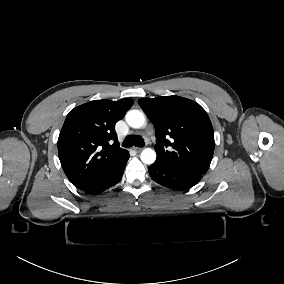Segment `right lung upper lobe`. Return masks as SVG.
Instances as JSON below:
<instances>
[{"label": "right lung upper lobe", "mask_w": 284, "mask_h": 284, "mask_svg": "<svg viewBox=\"0 0 284 284\" xmlns=\"http://www.w3.org/2000/svg\"><path fill=\"white\" fill-rule=\"evenodd\" d=\"M134 101L95 100L71 110L58 138V155L68 179L85 191L111 172L128 151L121 149L115 124Z\"/></svg>", "instance_id": "1"}]
</instances>
